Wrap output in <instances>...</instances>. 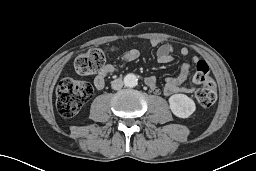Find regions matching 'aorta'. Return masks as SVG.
Segmentation results:
<instances>
[{"label": "aorta", "mask_w": 256, "mask_h": 171, "mask_svg": "<svg viewBox=\"0 0 256 171\" xmlns=\"http://www.w3.org/2000/svg\"><path fill=\"white\" fill-rule=\"evenodd\" d=\"M124 84L127 87H135L138 84V79L135 74L129 73L124 77Z\"/></svg>", "instance_id": "obj_1"}]
</instances>
